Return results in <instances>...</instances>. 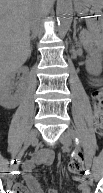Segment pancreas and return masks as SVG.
<instances>
[{
    "instance_id": "pancreas-1",
    "label": "pancreas",
    "mask_w": 103,
    "mask_h": 193,
    "mask_svg": "<svg viewBox=\"0 0 103 193\" xmlns=\"http://www.w3.org/2000/svg\"><path fill=\"white\" fill-rule=\"evenodd\" d=\"M81 42H82V44H83L86 48L89 47V40H88V37L82 38Z\"/></svg>"
}]
</instances>
